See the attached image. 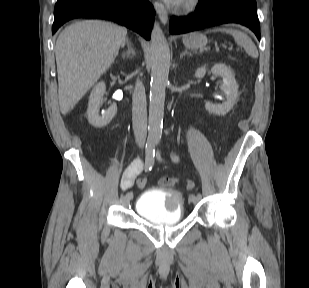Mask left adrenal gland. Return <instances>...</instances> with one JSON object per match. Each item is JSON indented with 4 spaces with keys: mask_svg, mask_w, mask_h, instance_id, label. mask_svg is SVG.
<instances>
[{
    "mask_svg": "<svg viewBox=\"0 0 309 288\" xmlns=\"http://www.w3.org/2000/svg\"><path fill=\"white\" fill-rule=\"evenodd\" d=\"M188 55V56H192V54L190 52H188L187 50H185L184 52H182L180 54V58H182L183 56Z\"/></svg>",
    "mask_w": 309,
    "mask_h": 288,
    "instance_id": "1",
    "label": "left adrenal gland"
}]
</instances>
